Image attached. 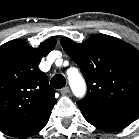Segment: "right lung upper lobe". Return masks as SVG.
I'll return each mask as SVG.
<instances>
[{
	"label": "right lung upper lobe",
	"mask_w": 139,
	"mask_h": 139,
	"mask_svg": "<svg viewBox=\"0 0 139 139\" xmlns=\"http://www.w3.org/2000/svg\"><path fill=\"white\" fill-rule=\"evenodd\" d=\"M56 45L48 39L38 48L15 39L0 46V131L16 136L51 114L56 98L38 68Z\"/></svg>",
	"instance_id": "right-lung-upper-lobe-1"
}]
</instances>
